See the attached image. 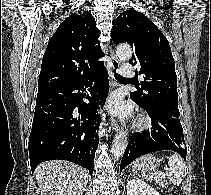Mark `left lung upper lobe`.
Masks as SVG:
<instances>
[{
    "mask_svg": "<svg viewBox=\"0 0 211 195\" xmlns=\"http://www.w3.org/2000/svg\"><path fill=\"white\" fill-rule=\"evenodd\" d=\"M113 42H127L134 53L129 60L139 67L144 81L130 97L140 106L159 108L179 116L177 75L168 40L144 14L123 11L112 22Z\"/></svg>",
    "mask_w": 211,
    "mask_h": 195,
    "instance_id": "1",
    "label": "left lung upper lobe"
}]
</instances>
